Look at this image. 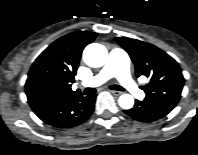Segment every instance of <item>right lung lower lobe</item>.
Here are the masks:
<instances>
[{
	"mask_svg": "<svg viewBox=\"0 0 198 155\" xmlns=\"http://www.w3.org/2000/svg\"><path fill=\"white\" fill-rule=\"evenodd\" d=\"M96 95L72 97L53 101L33 109L45 123L54 127L70 128L86 121L94 110Z\"/></svg>",
	"mask_w": 198,
	"mask_h": 155,
	"instance_id": "1",
	"label": "right lung lower lobe"
}]
</instances>
